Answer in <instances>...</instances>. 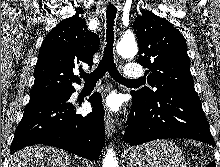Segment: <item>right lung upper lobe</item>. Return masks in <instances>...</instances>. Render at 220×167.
<instances>
[{
	"label": "right lung upper lobe",
	"mask_w": 220,
	"mask_h": 167,
	"mask_svg": "<svg viewBox=\"0 0 220 167\" xmlns=\"http://www.w3.org/2000/svg\"><path fill=\"white\" fill-rule=\"evenodd\" d=\"M99 44L98 35L87 29L78 14L61 21L43 40L30 97L74 89L80 80L73 70L81 63L93 65Z\"/></svg>",
	"instance_id": "obj_1"
}]
</instances>
